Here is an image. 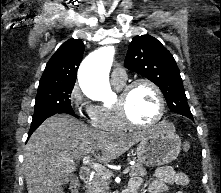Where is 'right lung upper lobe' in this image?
I'll list each match as a JSON object with an SVG mask.
<instances>
[{
  "label": "right lung upper lobe",
  "mask_w": 221,
  "mask_h": 193,
  "mask_svg": "<svg viewBox=\"0 0 221 193\" xmlns=\"http://www.w3.org/2000/svg\"><path fill=\"white\" fill-rule=\"evenodd\" d=\"M83 52L84 44L79 39L63 43L48 61L39 87L74 85Z\"/></svg>",
  "instance_id": "right-lung-upper-lobe-1"
}]
</instances>
